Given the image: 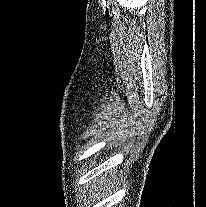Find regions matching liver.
Listing matches in <instances>:
<instances>
[{"instance_id":"liver-1","label":"liver","mask_w":206,"mask_h":207,"mask_svg":"<svg viewBox=\"0 0 206 207\" xmlns=\"http://www.w3.org/2000/svg\"><path fill=\"white\" fill-rule=\"evenodd\" d=\"M100 185H101V189L103 191L109 192L110 189L112 188L111 184L107 180H105V179L100 181Z\"/></svg>"}]
</instances>
